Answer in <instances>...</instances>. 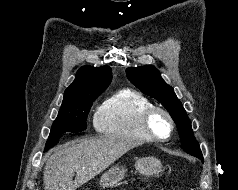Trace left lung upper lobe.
<instances>
[{"instance_id":"left-lung-upper-lobe-1","label":"left lung upper lobe","mask_w":238,"mask_h":190,"mask_svg":"<svg viewBox=\"0 0 238 190\" xmlns=\"http://www.w3.org/2000/svg\"><path fill=\"white\" fill-rule=\"evenodd\" d=\"M129 80L146 95L158 100L170 113L176 122L181 147L189 154L203 160L202 152L196 141L191 122L177 98L173 88L165 83L160 72L151 66L128 68L126 70Z\"/></svg>"}]
</instances>
